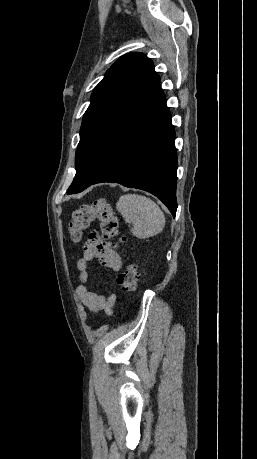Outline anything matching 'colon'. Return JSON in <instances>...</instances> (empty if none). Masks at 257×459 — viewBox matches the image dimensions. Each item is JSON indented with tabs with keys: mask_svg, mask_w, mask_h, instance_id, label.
<instances>
[{
	"mask_svg": "<svg viewBox=\"0 0 257 459\" xmlns=\"http://www.w3.org/2000/svg\"><path fill=\"white\" fill-rule=\"evenodd\" d=\"M99 221L102 238L114 240L118 236V219L114 215L110 202L105 198L96 199L89 205H83L73 212L68 230L72 242H79L82 234L94 221ZM120 237L118 243H124ZM118 285L126 292H133L138 287L139 272L134 264L127 265L117 277Z\"/></svg>",
	"mask_w": 257,
	"mask_h": 459,
	"instance_id": "colon-1",
	"label": "colon"
}]
</instances>
